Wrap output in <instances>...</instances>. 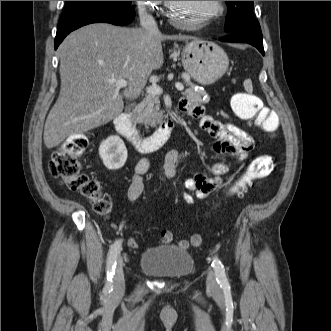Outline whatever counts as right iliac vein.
<instances>
[{
	"instance_id": "63e3f726",
	"label": "right iliac vein",
	"mask_w": 331,
	"mask_h": 331,
	"mask_svg": "<svg viewBox=\"0 0 331 331\" xmlns=\"http://www.w3.org/2000/svg\"><path fill=\"white\" fill-rule=\"evenodd\" d=\"M124 287H125V279L123 272V261L122 258L119 257L117 260V266L115 270L114 292L116 294H121L124 291Z\"/></svg>"
}]
</instances>
